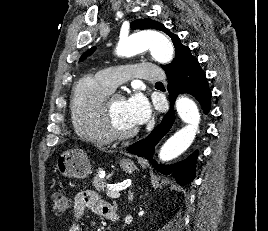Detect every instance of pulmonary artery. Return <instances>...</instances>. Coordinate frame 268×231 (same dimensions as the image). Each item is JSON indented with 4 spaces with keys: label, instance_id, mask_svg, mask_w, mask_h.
I'll return each instance as SVG.
<instances>
[{
    "label": "pulmonary artery",
    "instance_id": "e3ab8cb5",
    "mask_svg": "<svg viewBox=\"0 0 268 231\" xmlns=\"http://www.w3.org/2000/svg\"><path fill=\"white\" fill-rule=\"evenodd\" d=\"M132 75L149 82L164 79L161 68L151 63L113 66L105 68L98 73L99 79L112 90Z\"/></svg>",
    "mask_w": 268,
    "mask_h": 231
}]
</instances>
